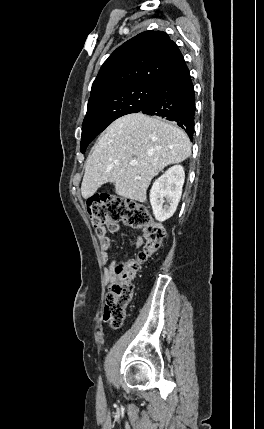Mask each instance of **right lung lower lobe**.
Returning <instances> with one entry per match:
<instances>
[{"label":"right lung lower lobe","instance_id":"obj_1","mask_svg":"<svg viewBox=\"0 0 264 429\" xmlns=\"http://www.w3.org/2000/svg\"><path fill=\"white\" fill-rule=\"evenodd\" d=\"M140 112L176 121L193 138L195 94L184 59L157 85Z\"/></svg>","mask_w":264,"mask_h":429}]
</instances>
